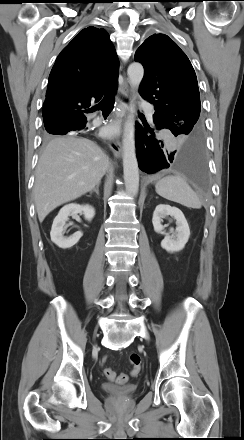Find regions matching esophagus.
Masks as SVG:
<instances>
[{
    "mask_svg": "<svg viewBox=\"0 0 244 440\" xmlns=\"http://www.w3.org/2000/svg\"><path fill=\"white\" fill-rule=\"evenodd\" d=\"M129 94V86L127 80L124 78L122 83L119 86L118 89V95L116 97V111H115V118L118 120V122L121 123L123 117L125 116L126 109H127V98ZM109 147L113 154L120 158L122 156V145L119 139H112L108 142Z\"/></svg>",
    "mask_w": 244,
    "mask_h": 440,
    "instance_id": "obj_1",
    "label": "esophagus"
}]
</instances>
